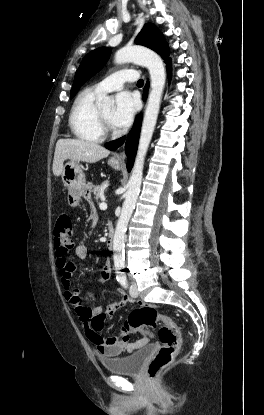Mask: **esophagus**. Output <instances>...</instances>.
<instances>
[{
    "label": "esophagus",
    "instance_id": "obj_1",
    "mask_svg": "<svg viewBox=\"0 0 264 415\" xmlns=\"http://www.w3.org/2000/svg\"><path fill=\"white\" fill-rule=\"evenodd\" d=\"M125 159H126V156H125L124 151L120 152L119 154H117V155L114 157V160H115V161H120V162H124V161H125Z\"/></svg>",
    "mask_w": 264,
    "mask_h": 415
}]
</instances>
